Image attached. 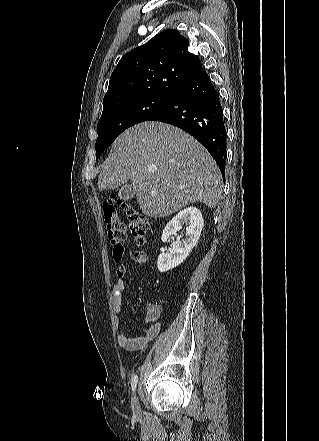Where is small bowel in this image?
I'll return each mask as SVG.
<instances>
[{"instance_id":"1","label":"small bowel","mask_w":319,"mask_h":441,"mask_svg":"<svg viewBox=\"0 0 319 441\" xmlns=\"http://www.w3.org/2000/svg\"><path fill=\"white\" fill-rule=\"evenodd\" d=\"M131 259L134 262L143 264L146 262V254L141 251L131 252ZM127 275V267L125 265H119L116 269L117 281L112 288V301L114 311L116 314V321L118 326L117 341L119 345L128 351H140L146 348V346L153 341L161 330L160 316L162 313L161 302H150L147 304L146 324L143 330V334L139 337L132 338L127 336L120 329V313L122 308L123 292L125 289L124 279Z\"/></svg>"}]
</instances>
